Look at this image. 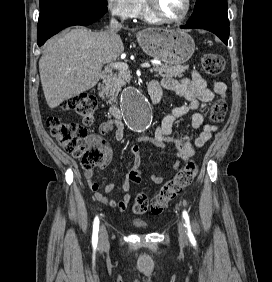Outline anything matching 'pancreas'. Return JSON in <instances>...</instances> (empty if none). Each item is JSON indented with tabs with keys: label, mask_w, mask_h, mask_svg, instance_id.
<instances>
[{
	"label": "pancreas",
	"mask_w": 272,
	"mask_h": 282,
	"mask_svg": "<svg viewBox=\"0 0 272 282\" xmlns=\"http://www.w3.org/2000/svg\"><path fill=\"white\" fill-rule=\"evenodd\" d=\"M188 70V66L181 65H154L150 70L155 73V76L160 77H182L183 73ZM131 79L130 72L128 70H120L114 74L110 83L107 86V94L109 102H116L117 95L121 88L126 85Z\"/></svg>",
	"instance_id": "pancreas-1"
}]
</instances>
